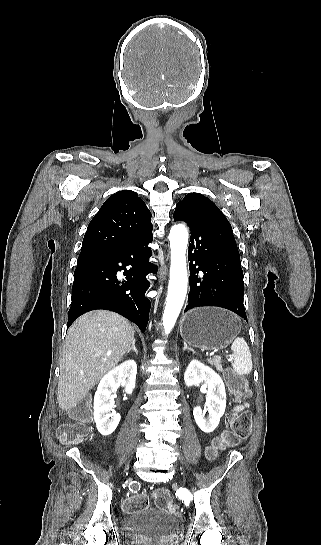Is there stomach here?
I'll return each mask as SVG.
<instances>
[{"label": "stomach", "mask_w": 321, "mask_h": 545, "mask_svg": "<svg viewBox=\"0 0 321 545\" xmlns=\"http://www.w3.org/2000/svg\"><path fill=\"white\" fill-rule=\"evenodd\" d=\"M241 321L230 311L219 307H198L185 313L180 335L191 347L219 351L226 349L241 331Z\"/></svg>", "instance_id": "1"}]
</instances>
